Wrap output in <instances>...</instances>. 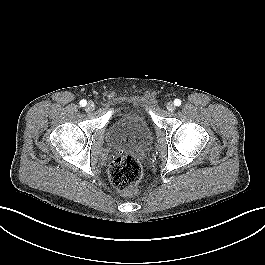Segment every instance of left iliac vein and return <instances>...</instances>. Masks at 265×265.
Returning <instances> with one entry per match:
<instances>
[{"instance_id":"1","label":"left iliac vein","mask_w":265,"mask_h":265,"mask_svg":"<svg viewBox=\"0 0 265 265\" xmlns=\"http://www.w3.org/2000/svg\"><path fill=\"white\" fill-rule=\"evenodd\" d=\"M166 108L168 111L173 112L175 110V105L172 102H168Z\"/></svg>"}]
</instances>
